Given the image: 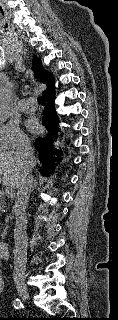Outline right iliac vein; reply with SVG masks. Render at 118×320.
<instances>
[{"mask_svg":"<svg viewBox=\"0 0 118 320\" xmlns=\"http://www.w3.org/2000/svg\"><path fill=\"white\" fill-rule=\"evenodd\" d=\"M17 291L19 296L23 299V300H28L29 299V291L26 287V285L24 283H18L17 286Z\"/></svg>","mask_w":118,"mask_h":320,"instance_id":"1","label":"right iliac vein"}]
</instances>
